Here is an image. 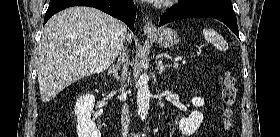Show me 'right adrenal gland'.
Listing matches in <instances>:
<instances>
[{
    "label": "right adrenal gland",
    "mask_w": 280,
    "mask_h": 137,
    "mask_svg": "<svg viewBox=\"0 0 280 137\" xmlns=\"http://www.w3.org/2000/svg\"><path fill=\"white\" fill-rule=\"evenodd\" d=\"M123 55H124V53H123V52H120V57H119L117 63H116L115 65L113 64L112 69H110V73L113 74V77H114L115 79H117V80L119 79V73H118V71H119V68H120V62H121L122 59H123Z\"/></svg>",
    "instance_id": "1"
}]
</instances>
